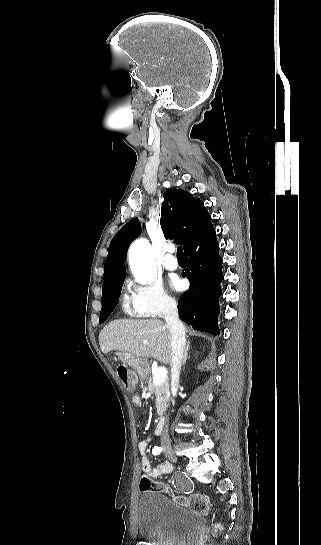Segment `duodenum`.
Here are the masks:
<instances>
[{"label": "duodenum", "instance_id": "duodenum-1", "mask_svg": "<svg viewBox=\"0 0 321 545\" xmlns=\"http://www.w3.org/2000/svg\"><path fill=\"white\" fill-rule=\"evenodd\" d=\"M166 418L165 417H161L159 420H158V423L156 425V434L157 435H161L163 432H164V428H165V424H166Z\"/></svg>", "mask_w": 321, "mask_h": 545}]
</instances>
